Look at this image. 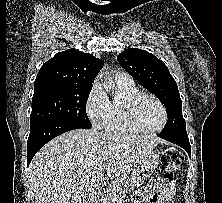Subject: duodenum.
I'll list each match as a JSON object with an SVG mask.
<instances>
[{
    "label": "duodenum",
    "instance_id": "obj_1",
    "mask_svg": "<svg viewBox=\"0 0 222 203\" xmlns=\"http://www.w3.org/2000/svg\"><path fill=\"white\" fill-rule=\"evenodd\" d=\"M93 203H100L104 197V191L102 189H95L90 194Z\"/></svg>",
    "mask_w": 222,
    "mask_h": 203
}]
</instances>
